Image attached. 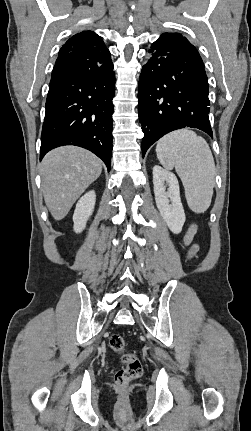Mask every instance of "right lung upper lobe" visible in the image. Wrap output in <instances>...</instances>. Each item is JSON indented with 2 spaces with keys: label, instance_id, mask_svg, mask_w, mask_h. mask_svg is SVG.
Segmentation results:
<instances>
[{
  "label": "right lung upper lobe",
  "instance_id": "cb5924a9",
  "mask_svg": "<svg viewBox=\"0 0 251 431\" xmlns=\"http://www.w3.org/2000/svg\"><path fill=\"white\" fill-rule=\"evenodd\" d=\"M85 48H96L98 51L106 50L103 40L92 31H82L72 36L60 49L63 53L76 52Z\"/></svg>",
  "mask_w": 251,
  "mask_h": 431
}]
</instances>
